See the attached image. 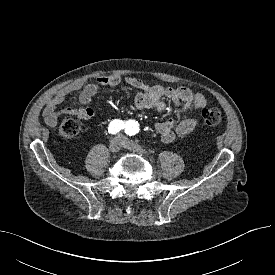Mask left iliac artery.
Wrapping results in <instances>:
<instances>
[{
    "instance_id": "1",
    "label": "left iliac artery",
    "mask_w": 275,
    "mask_h": 275,
    "mask_svg": "<svg viewBox=\"0 0 275 275\" xmlns=\"http://www.w3.org/2000/svg\"><path fill=\"white\" fill-rule=\"evenodd\" d=\"M138 127L135 121L128 120L125 125V132L129 136L135 135L138 131Z\"/></svg>"
}]
</instances>
